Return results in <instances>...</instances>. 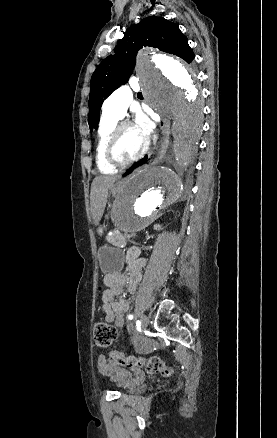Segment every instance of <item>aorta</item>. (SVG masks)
<instances>
[{
	"label": "aorta",
	"instance_id": "1",
	"mask_svg": "<svg viewBox=\"0 0 277 438\" xmlns=\"http://www.w3.org/2000/svg\"><path fill=\"white\" fill-rule=\"evenodd\" d=\"M136 72L149 104L173 120L174 154L185 165L201 126L197 71L173 57L152 53L138 56ZM182 192L181 180L170 168L145 167L118 194L113 207L115 223L126 233L139 231L177 201Z\"/></svg>",
	"mask_w": 277,
	"mask_h": 438
}]
</instances>
